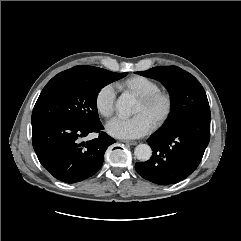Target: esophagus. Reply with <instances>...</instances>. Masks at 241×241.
<instances>
[{
  "instance_id": "1",
  "label": "esophagus",
  "mask_w": 241,
  "mask_h": 241,
  "mask_svg": "<svg viewBox=\"0 0 241 241\" xmlns=\"http://www.w3.org/2000/svg\"><path fill=\"white\" fill-rule=\"evenodd\" d=\"M122 142H124L126 144H129V145H136L137 144V141H131V140H124Z\"/></svg>"
}]
</instances>
